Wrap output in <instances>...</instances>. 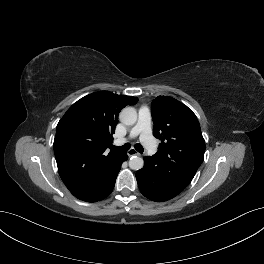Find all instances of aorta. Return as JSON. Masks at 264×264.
Masks as SVG:
<instances>
[{
	"label": "aorta",
	"instance_id": "obj_1",
	"mask_svg": "<svg viewBox=\"0 0 264 264\" xmlns=\"http://www.w3.org/2000/svg\"><path fill=\"white\" fill-rule=\"evenodd\" d=\"M119 119L125 125H133L137 121V112L133 107H126L120 112ZM143 165L144 161L141 157L132 156L129 160V167L132 170H140Z\"/></svg>",
	"mask_w": 264,
	"mask_h": 264
}]
</instances>
